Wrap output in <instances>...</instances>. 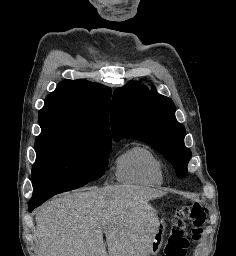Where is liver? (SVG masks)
<instances>
[{
	"label": "liver",
	"instance_id": "liver-1",
	"mask_svg": "<svg viewBox=\"0 0 236 256\" xmlns=\"http://www.w3.org/2000/svg\"><path fill=\"white\" fill-rule=\"evenodd\" d=\"M155 196L156 190L141 186L61 194L36 212L38 252L40 256H148L140 222L146 202Z\"/></svg>",
	"mask_w": 236,
	"mask_h": 256
}]
</instances>
